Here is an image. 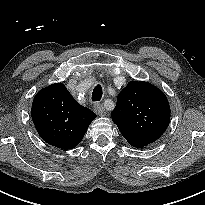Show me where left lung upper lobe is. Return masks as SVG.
<instances>
[{"label": "left lung upper lobe", "instance_id": "obj_1", "mask_svg": "<svg viewBox=\"0 0 205 205\" xmlns=\"http://www.w3.org/2000/svg\"><path fill=\"white\" fill-rule=\"evenodd\" d=\"M112 120L129 142L146 146L166 131L170 106L165 94L147 82L131 81L119 93Z\"/></svg>", "mask_w": 205, "mask_h": 205}]
</instances>
